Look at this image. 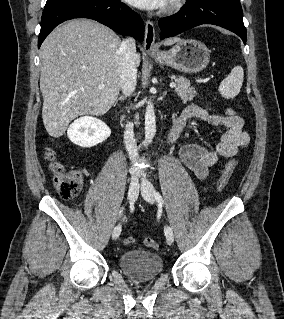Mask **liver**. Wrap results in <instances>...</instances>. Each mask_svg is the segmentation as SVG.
<instances>
[{
  "mask_svg": "<svg viewBox=\"0 0 284 319\" xmlns=\"http://www.w3.org/2000/svg\"><path fill=\"white\" fill-rule=\"evenodd\" d=\"M179 38H169L172 45ZM120 37L89 19H75L52 31L41 46L42 118L52 137H61L81 115H102L121 88L123 51ZM140 54L136 64L140 65ZM104 84V88L98 86Z\"/></svg>",
  "mask_w": 284,
  "mask_h": 319,
  "instance_id": "liver-1",
  "label": "liver"
}]
</instances>
